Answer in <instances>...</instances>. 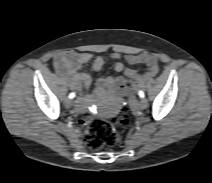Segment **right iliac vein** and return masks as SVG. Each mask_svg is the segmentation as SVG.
I'll list each match as a JSON object with an SVG mask.
<instances>
[{"label": "right iliac vein", "instance_id": "obj_1", "mask_svg": "<svg viewBox=\"0 0 212 183\" xmlns=\"http://www.w3.org/2000/svg\"><path fill=\"white\" fill-rule=\"evenodd\" d=\"M73 104V101L70 98L65 99V106L70 108Z\"/></svg>", "mask_w": 212, "mask_h": 183}]
</instances>
